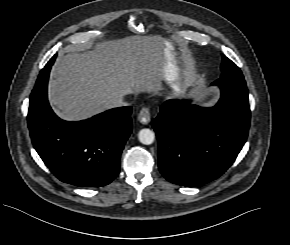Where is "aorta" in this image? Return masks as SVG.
Returning <instances> with one entry per match:
<instances>
[{
    "instance_id": "aorta-1",
    "label": "aorta",
    "mask_w": 290,
    "mask_h": 245,
    "mask_svg": "<svg viewBox=\"0 0 290 245\" xmlns=\"http://www.w3.org/2000/svg\"><path fill=\"white\" fill-rule=\"evenodd\" d=\"M139 141L144 145H150L154 142L155 134L148 128L141 129L138 133Z\"/></svg>"
}]
</instances>
